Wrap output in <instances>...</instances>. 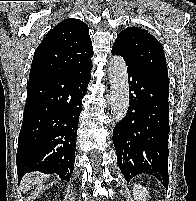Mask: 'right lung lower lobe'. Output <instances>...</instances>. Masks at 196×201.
Listing matches in <instances>:
<instances>
[{
  "label": "right lung lower lobe",
  "mask_w": 196,
  "mask_h": 201,
  "mask_svg": "<svg viewBox=\"0 0 196 201\" xmlns=\"http://www.w3.org/2000/svg\"><path fill=\"white\" fill-rule=\"evenodd\" d=\"M92 64L76 72L28 81L16 156L18 181L31 171L69 181L74 168L81 100Z\"/></svg>",
  "instance_id": "1"
}]
</instances>
